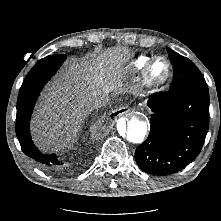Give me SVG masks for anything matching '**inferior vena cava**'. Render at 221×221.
<instances>
[{
    "label": "inferior vena cava",
    "instance_id": "inferior-vena-cava-1",
    "mask_svg": "<svg viewBox=\"0 0 221 221\" xmlns=\"http://www.w3.org/2000/svg\"><path fill=\"white\" fill-rule=\"evenodd\" d=\"M110 102V98L109 96H100L97 97L96 99H94L91 103V109H98L101 107H105L106 105H108Z\"/></svg>",
    "mask_w": 221,
    "mask_h": 221
}]
</instances>
